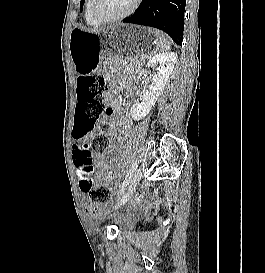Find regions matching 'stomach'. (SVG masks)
I'll return each instance as SVG.
<instances>
[{"mask_svg":"<svg viewBox=\"0 0 265 273\" xmlns=\"http://www.w3.org/2000/svg\"><path fill=\"white\" fill-rule=\"evenodd\" d=\"M156 34L148 25H110L109 30L96 31L75 28L69 43L75 70L80 75L103 73V69H113V64H136L141 56H155L150 50L164 45Z\"/></svg>","mask_w":265,"mask_h":273,"instance_id":"stomach-1","label":"stomach"}]
</instances>
